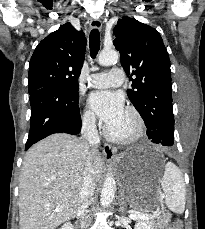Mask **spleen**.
Instances as JSON below:
<instances>
[{
	"label": "spleen",
	"mask_w": 205,
	"mask_h": 229,
	"mask_svg": "<svg viewBox=\"0 0 205 229\" xmlns=\"http://www.w3.org/2000/svg\"><path fill=\"white\" fill-rule=\"evenodd\" d=\"M160 183L167 207L177 214H182L185 210L186 189L182 172L174 163L167 162Z\"/></svg>",
	"instance_id": "3e777b00"
}]
</instances>
